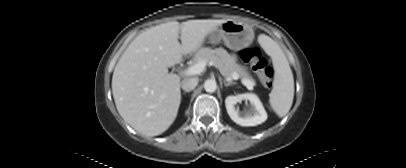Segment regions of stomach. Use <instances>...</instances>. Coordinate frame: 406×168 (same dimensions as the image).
I'll return each instance as SVG.
<instances>
[{"label": "stomach", "instance_id": "stomach-1", "mask_svg": "<svg viewBox=\"0 0 406 168\" xmlns=\"http://www.w3.org/2000/svg\"><path fill=\"white\" fill-rule=\"evenodd\" d=\"M208 40L211 44H217L223 40L228 48L238 51L253 42L254 31L247 23L229 19L209 33Z\"/></svg>", "mask_w": 406, "mask_h": 168}]
</instances>
